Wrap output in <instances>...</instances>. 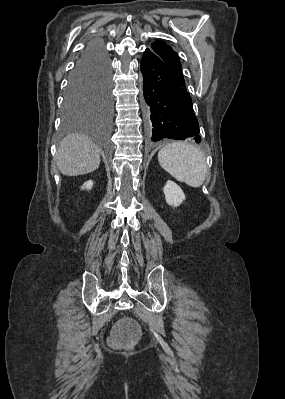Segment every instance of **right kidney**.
Returning a JSON list of instances; mask_svg holds the SVG:
<instances>
[{"label": "right kidney", "instance_id": "right-kidney-1", "mask_svg": "<svg viewBox=\"0 0 285 399\" xmlns=\"http://www.w3.org/2000/svg\"><path fill=\"white\" fill-rule=\"evenodd\" d=\"M92 186H93V181H92V180H89V181H87V182H85V183L83 184V186L81 187V189H82V190H84V189L91 190Z\"/></svg>", "mask_w": 285, "mask_h": 399}]
</instances>
